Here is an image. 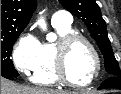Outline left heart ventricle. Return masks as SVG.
<instances>
[{"mask_svg": "<svg viewBox=\"0 0 121 94\" xmlns=\"http://www.w3.org/2000/svg\"><path fill=\"white\" fill-rule=\"evenodd\" d=\"M96 64L88 47L82 42L74 43L67 55V71L76 83L88 82L94 75Z\"/></svg>", "mask_w": 121, "mask_h": 94, "instance_id": "1", "label": "left heart ventricle"}]
</instances>
